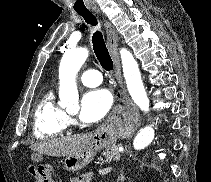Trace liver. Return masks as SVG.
I'll return each instance as SVG.
<instances>
[{"mask_svg":"<svg viewBox=\"0 0 211 182\" xmlns=\"http://www.w3.org/2000/svg\"><path fill=\"white\" fill-rule=\"evenodd\" d=\"M93 133H85L65 138L48 139L31 145L33 151L49 156H70L85 149L93 138Z\"/></svg>","mask_w":211,"mask_h":182,"instance_id":"liver-1","label":"liver"}]
</instances>
